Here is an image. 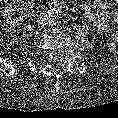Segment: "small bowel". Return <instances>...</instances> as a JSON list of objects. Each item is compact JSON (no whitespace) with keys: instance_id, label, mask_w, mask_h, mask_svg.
Listing matches in <instances>:
<instances>
[{"instance_id":"obj_1","label":"small bowel","mask_w":118,"mask_h":118,"mask_svg":"<svg viewBox=\"0 0 118 118\" xmlns=\"http://www.w3.org/2000/svg\"><path fill=\"white\" fill-rule=\"evenodd\" d=\"M115 6H118V0H112ZM81 10L84 12L89 22L102 31H107L110 22L105 18V13L109 8L106 0H88L80 4ZM114 22L118 21V11L113 17ZM118 44V31L114 32L110 38L109 46L115 47Z\"/></svg>"}]
</instances>
